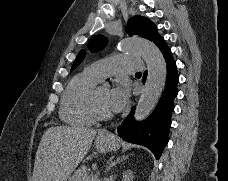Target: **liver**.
Returning a JSON list of instances; mask_svg holds the SVG:
<instances>
[{
	"mask_svg": "<svg viewBox=\"0 0 228 181\" xmlns=\"http://www.w3.org/2000/svg\"><path fill=\"white\" fill-rule=\"evenodd\" d=\"M97 133L88 127H51L37 149L32 181H67Z\"/></svg>",
	"mask_w": 228,
	"mask_h": 181,
	"instance_id": "liver-1",
	"label": "liver"
}]
</instances>
